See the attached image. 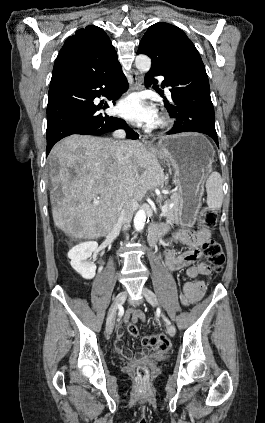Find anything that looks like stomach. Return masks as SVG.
Returning a JSON list of instances; mask_svg holds the SVG:
<instances>
[{
    "label": "stomach",
    "instance_id": "0dacf381",
    "mask_svg": "<svg viewBox=\"0 0 265 423\" xmlns=\"http://www.w3.org/2000/svg\"><path fill=\"white\" fill-rule=\"evenodd\" d=\"M154 150L175 169L178 188V220L192 227L201 207L203 184L214 159V149L208 139L198 133H182L163 138Z\"/></svg>",
    "mask_w": 265,
    "mask_h": 423
}]
</instances>
